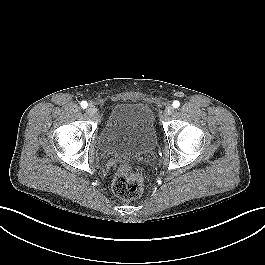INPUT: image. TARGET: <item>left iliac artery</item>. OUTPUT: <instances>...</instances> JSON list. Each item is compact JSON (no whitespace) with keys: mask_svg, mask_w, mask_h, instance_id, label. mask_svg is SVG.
<instances>
[{"mask_svg":"<svg viewBox=\"0 0 265 265\" xmlns=\"http://www.w3.org/2000/svg\"><path fill=\"white\" fill-rule=\"evenodd\" d=\"M173 108H178L180 106V102L178 100L173 101Z\"/></svg>","mask_w":265,"mask_h":265,"instance_id":"left-iliac-artery-1","label":"left iliac artery"}]
</instances>
